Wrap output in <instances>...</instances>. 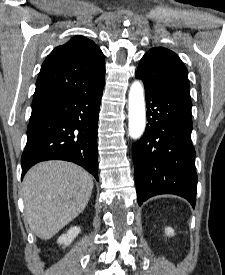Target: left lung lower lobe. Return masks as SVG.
<instances>
[{"mask_svg":"<svg viewBox=\"0 0 225 275\" xmlns=\"http://www.w3.org/2000/svg\"><path fill=\"white\" fill-rule=\"evenodd\" d=\"M147 126L132 145L138 204L159 194H175L196 203L197 174L191 141V103L142 79Z\"/></svg>","mask_w":225,"mask_h":275,"instance_id":"1","label":"left lung lower lobe"}]
</instances>
